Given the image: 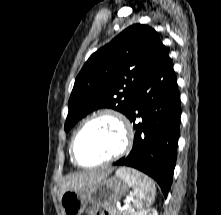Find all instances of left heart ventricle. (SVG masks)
Instances as JSON below:
<instances>
[{
  "label": "left heart ventricle",
  "instance_id": "1",
  "mask_svg": "<svg viewBox=\"0 0 221 215\" xmlns=\"http://www.w3.org/2000/svg\"><path fill=\"white\" fill-rule=\"evenodd\" d=\"M122 143L119 124L112 118L101 117L82 130L76 141V153L82 163L94 164L113 155Z\"/></svg>",
  "mask_w": 221,
  "mask_h": 215
}]
</instances>
